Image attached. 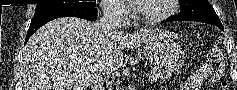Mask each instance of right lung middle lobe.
I'll use <instances>...</instances> for the list:
<instances>
[{
	"mask_svg": "<svg viewBox=\"0 0 237 90\" xmlns=\"http://www.w3.org/2000/svg\"><path fill=\"white\" fill-rule=\"evenodd\" d=\"M75 7L95 8L96 7V2L37 4L34 16L47 14V13L54 12L56 10L63 9V8H75Z\"/></svg>",
	"mask_w": 237,
	"mask_h": 90,
	"instance_id": "right-lung-middle-lobe-1",
	"label": "right lung middle lobe"
}]
</instances>
